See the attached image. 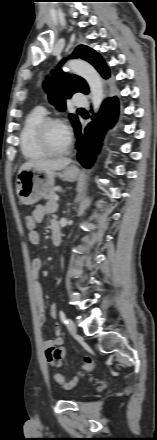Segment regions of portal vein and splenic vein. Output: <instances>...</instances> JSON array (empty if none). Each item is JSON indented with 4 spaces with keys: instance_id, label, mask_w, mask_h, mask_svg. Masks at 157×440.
I'll return each mask as SVG.
<instances>
[{
    "instance_id": "1",
    "label": "portal vein and splenic vein",
    "mask_w": 157,
    "mask_h": 440,
    "mask_svg": "<svg viewBox=\"0 0 157 440\" xmlns=\"http://www.w3.org/2000/svg\"><path fill=\"white\" fill-rule=\"evenodd\" d=\"M54 200H55V201H58V200H59V196H57V195L54 196Z\"/></svg>"
}]
</instances>
